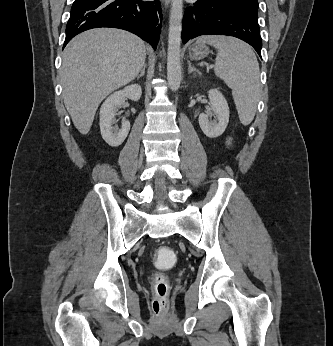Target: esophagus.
Listing matches in <instances>:
<instances>
[{"label": "esophagus", "mask_w": 333, "mask_h": 346, "mask_svg": "<svg viewBox=\"0 0 333 346\" xmlns=\"http://www.w3.org/2000/svg\"><path fill=\"white\" fill-rule=\"evenodd\" d=\"M170 1H171V0H164L165 7H166V8H167V7H168V5L170 4Z\"/></svg>", "instance_id": "esophagus-1"}]
</instances>
